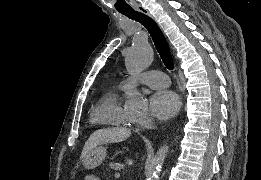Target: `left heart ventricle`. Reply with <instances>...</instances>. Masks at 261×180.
I'll return each mask as SVG.
<instances>
[{"instance_id":"left-heart-ventricle-1","label":"left heart ventricle","mask_w":261,"mask_h":180,"mask_svg":"<svg viewBox=\"0 0 261 180\" xmlns=\"http://www.w3.org/2000/svg\"><path fill=\"white\" fill-rule=\"evenodd\" d=\"M124 115L129 120H139L141 113H134L133 110H123Z\"/></svg>"}]
</instances>
